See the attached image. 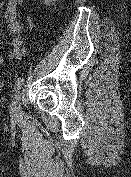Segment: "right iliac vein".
Wrapping results in <instances>:
<instances>
[{
	"mask_svg": "<svg viewBox=\"0 0 131 177\" xmlns=\"http://www.w3.org/2000/svg\"><path fill=\"white\" fill-rule=\"evenodd\" d=\"M20 105H21V95L16 94L12 102L11 108L12 116L17 117L20 114Z\"/></svg>",
	"mask_w": 131,
	"mask_h": 177,
	"instance_id": "1",
	"label": "right iliac vein"
}]
</instances>
